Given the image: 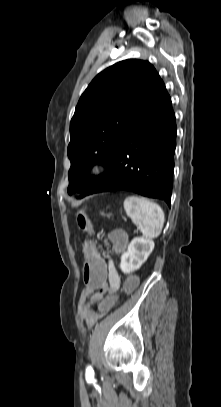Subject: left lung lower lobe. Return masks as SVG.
Returning a JSON list of instances; mask_svg holds the SVG:
<instances>
[{
  "label": "left lung lower lobe",
  "instance_id": "1",
  "mask_svg": "<svg viewBox=\"0 0 221 407\" xmlns=\"http://www.w3.org/2000/svg\"><path fill=\"white\" fill-rule=\"evenodd\" d=\"M176 120L163 81L128 126L105 174L81 194L127 190L171 205Z\"/></svg>",
  "mask_w": 221,
  "mask_h": 407
}]
</instances>
